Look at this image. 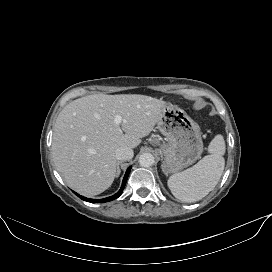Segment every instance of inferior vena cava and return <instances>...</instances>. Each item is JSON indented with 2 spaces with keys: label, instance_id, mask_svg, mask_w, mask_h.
<instances>
[{
  "label": "inferior vena cava",
  "instance_id": "inferior-vena-cava-1",
  "mask_svg": "<svg viewBox=\"0 0 272 272\" xmlns=\"http://www.w3.org/2000/svg\"><path fill=\"white\" fill-rule=\"evenodd\" d=\"M117 160L126 161L133 158V150L129 147H119L115 151Z\"/></svg>",
  "mask_w": 272,
  "mask_h": 272
}]
</instances>
